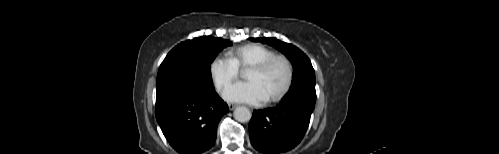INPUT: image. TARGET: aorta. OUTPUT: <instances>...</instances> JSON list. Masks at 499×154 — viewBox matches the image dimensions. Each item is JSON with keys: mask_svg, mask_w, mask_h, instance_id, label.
<instances>
[{"mask_svg": "<svg viewBox=\"0 0 499 154\" xmlns=\"http://www.w3.org/2000/svg\"><path fill=\"white\" fill-rule=\"evenodd\" d=\"M251 112L246 107H238L234 110V118L239 122H248L251 119Z\"/></svg>", "mask_w": 499, "mask_h": 154, "instance_id": "762f6f07", "label": "aorta"}]
</instances>
